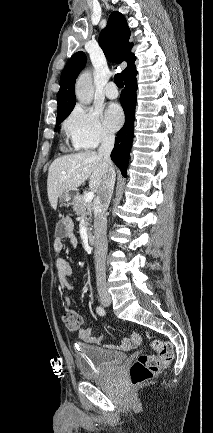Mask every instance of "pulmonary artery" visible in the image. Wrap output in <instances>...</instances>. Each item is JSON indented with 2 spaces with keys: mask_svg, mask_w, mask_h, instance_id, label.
<instances>
[{
  "mask_svg": "<svg viewBox=\"0 0 213 433\" xmlns=\"http://www.w3.org/2000/svg\"><path fill=\"white\" fill-rule=\"evenodd\" d=\"M104 93L107 98L109 99H115L118 97V90L114 82H109L104 90Z\"/></svg>",
  "mask_w": 213,
  "mask_h": 433,
  "instance_id": "pulmonary-artery-1",
  "label": "pulmonary artery"
}]
</instances>
